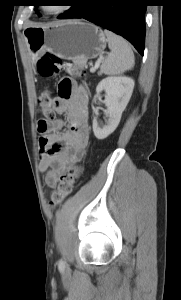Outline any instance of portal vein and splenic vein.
<instances>
[{"instance_id": "18ae733b", "label": "portal vein and splenic vein", "mask_w": 181, "mask_h": 300, "mask_svg": "<svg viewBox=\"0 0 181 300\" xmlns=\"http://www.w3.org/2000/svg\"><path fill=\"white\" fill-rule=\"evenodd\" d=\"M99 64H100V62L98 61V62L95 64L94 67H91V68H90V72H91V73H94V72L98 69Z\"/></svg>"}]
</instances>
